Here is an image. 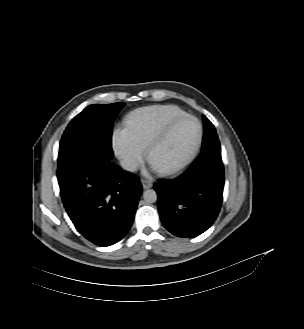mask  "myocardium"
<instances>
[{
	"label": "myocardium",
	"instance_id": "obj_1",
	"mask_svg": "<svg viewBox=\"0 0 304 329\" xmlns=\"http://www.w3.org/2000/svg\"><path fill=\"white\" fill-rule=\"evenodd\" d=\"M184 119H193L198 125V137H197V140H196L192 150L182 161H180L176 164H173L170 166H165V167H160V168L153 167L150 162V157H151L153 150L158 145L163 143L169 137L173 128ZM203 134H204V131H203L202 123L197 117H195L194 115L187 114V113L184 115L178 116V117L172 119L171 121H169L167 123V125L164 127V129L149 142V144L147 145V147L145 149L146 161L159 174H173L175 172H178V171L182 170L183 168H185L188 164H190L193 161V159L196 157V155L201 147V144H202Z\"/></svg>",
	"mask_w": 304,
	"mask_h": 329
}]
</instances>
